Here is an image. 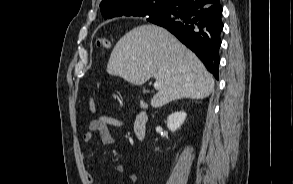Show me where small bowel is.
<instances>
[{
    "mask_svg": "<svg viewBox=\"0 0 293 184\" xmlns=\"http://www.w3.org/2000/svg\"><path fill=\"white\" fill-rule=\"evenodd\" d=\"M124 122L115 116H99L89 123V131L83 135V141L89 144L93 141L94 132L100 135L101 142L104 145H111L115 142V138L110 130V127H122ZM114 170L117 173H125L128 176L130 183H134L136 177L132 172H129L123 164H116ZM86 179L89 184H95V179L90 172H86Z\"/></svg>",
    "mask_w": 293,
    "mask_h": 184,
    "instance_id": "1",
    "label": "small bowel"
}]
</instances>
